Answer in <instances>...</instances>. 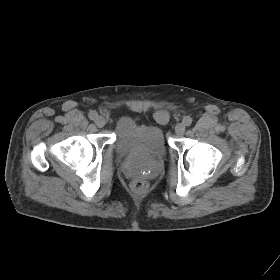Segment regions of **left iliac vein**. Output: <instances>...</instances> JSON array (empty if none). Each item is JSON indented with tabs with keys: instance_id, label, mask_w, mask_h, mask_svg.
Returning <instances> with one entry per match:
<instances>
[{
	"instance_id": "4c4485c4",
	"label": "left iliac vein",
	"mask_w": 280,
	"mask_h": 280,
	"mask_svg": "<svg viewBox=\"0 0 280 280\" xmlns=\"http://www.w3.org/2000/svg\"><path fill=\"white\" fill-rule=\"evenodd\" d=\"M175 132L179 136L183 135L185 133V125L183 123H178L175 126Z\"/></svg>"
}]
</instances>
